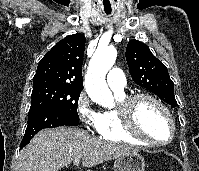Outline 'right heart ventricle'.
<instances>
[{"instance_id": "obj_1", "label": "right heart ventricle", "mask_w": 199, "mask_h": 171, "mask_svg": "<svg viewBox=\"0 0 199 171\" xmlns=\"http://www.w3.org/2000/svg\"><path fill=\"white\" fill-rule=\"evenodd\" d=\"M115 94L119 102L122 101L126 96L124 91L115 92ZM98 133L103 139L108 141L136 145H148L125 131L122 123V117L118 111V108L104 111L101 114V126Z\"/></svg>"}]
</instances>
